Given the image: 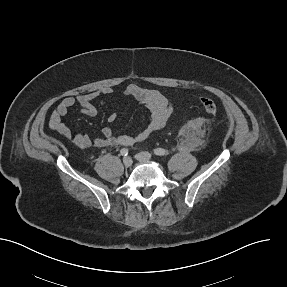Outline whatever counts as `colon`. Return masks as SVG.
Listing matches in <instances>:
<instances>
[{
	"label": "colon",
	"instance_id": "5ec220e1",
	"mask_svg": "<svg viewBox=\"0 0 287 287\" xmlns=\"http://www.w3.org/2000/svg\"><path fill=\"white\" fill-rule=\"evenodd\" d=\"M200 103L208 115H215L217 113V106L215 102L209 98H201Z\"/></svg>",
	"mask_w": 287,
	"mask_h": 287
}]
</instances>
